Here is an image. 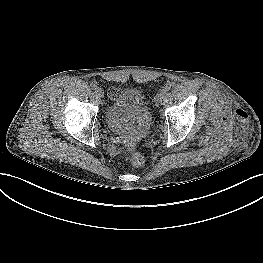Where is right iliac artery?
Returning a JSON list of instances; mask_svg holds the SVG:
<instances>
[{
  "label": "right iliac artery",
  "mask_w": 263,
  "mask_h": 263,
  "mask_svg": "<svg viewBox=\"0 0 263 263\" xmlns=\"http://www.w3.org/2000/svg\"><path fill=\"white\" fill-rule=\"evenodd\" d=\"M93 89H94V90H99V89H100V86L97 85V84H94V85H93Z\"/></svg>",
  "instance_id": "1"
}]
</instances>
